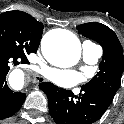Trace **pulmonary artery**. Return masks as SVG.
Wrapping results in <instances>:
<instances>
[{"instance_id": "e3ab8cb5", "label": "pulmonary artery", "mask_w": 124, "mask_h": 124, "mask_svg": "<svg viewBox=\"0 0 124 124\" xmlns=\"http://www.w3.org/2000/svg\"><path fill=\"white\" fill-rule=\"evenodd\" d=\"M83 59L88 64H95L102 55V48L90 41L82 44Z\"/></svg>"}]
</instances>
